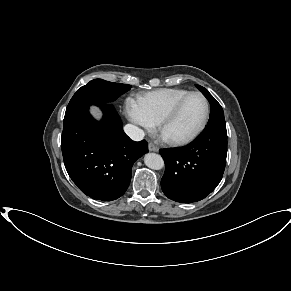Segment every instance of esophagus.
I'll list each match as a JSON object with an SVG mask.
<instances>
[{"label": "esophagus", "mask_w": 291, "mask_h": 291, "mask_svg": "<svg viewBox=\"0 0 291 291\" xmlns=\"http://www.w3.org/2000/svg\"><path fill=\"white\" fill-rule=\"evenodd\" d=\"M148 149H149V151H152V152H158L159 151V148L156 145H154L153 143H149Z\"/></svg>", "instance_id": "1"}]
</instances>
